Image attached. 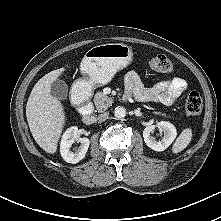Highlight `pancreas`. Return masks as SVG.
<instances>
[{
	"instance_id": "pancreas-1",
	"label": "pancreas",
	"mask_w": 221,
	"mask_h": 221,
	"mask_svg": "<svg viewBox=\"0 0 221 221\" xmlns=\"http://www.w3.org/2000/svg\"><path fill=\"white\" fill-rule=\"evenodd\" d=\"M113 99L103 92H97L94 96V103L98 112L105 111L109 106H111ZM155 114L166 116L160 112H155Z\"/></svg>"
}]
</instances>
